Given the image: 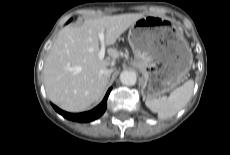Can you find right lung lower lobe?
<instances>
[{
	"label": "right lung lower lobe",
	"mask_w": 230,
	"mask_h": 155,
	"mask_svg": "<svg viewBox=\"0 0 230 155\" xmlns=\"http://www.w3.org/2000/svg\"><path fill=\"white\" fill-rule=\"evenodd\" d=\"M111 89L112 88H110L107 91L103 101L97 107H95L94 109H92L91 111H88V112L73 114V113H68V112L62 111L61 109H59L58 107H56L53 104H52V106L54 107V109L59 114H61L66 119L73 120L76 122H90V121H93V120L99 118L105 112L106 107H107V98H108V95H109Z\"/></svg>",
	"instance_id": "obj_1"
}]
</instances>
